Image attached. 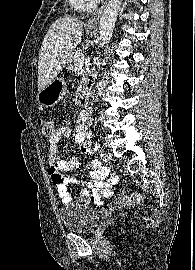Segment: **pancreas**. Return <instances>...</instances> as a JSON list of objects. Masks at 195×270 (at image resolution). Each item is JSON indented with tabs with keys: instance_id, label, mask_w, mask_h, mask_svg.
<instances>
[{
	"instance_id": "1",
	"label": "pancreas",
	"mask_w": 195,
	"mask_h": 270,
	"mask_svg": "<svg viewBox=\"0 0 195 270\" xmlns=\"http://www.w3.org/2000/svg\"><path fill=\"white\" fill-rule=\"evenodd\" d=\"M78 52H82L81 50H76L75 52H72L68 61H67V66L66 69L69 71H74L76 68L77 60L75 58V54Z\"/></svg>"
}]
</instances>
